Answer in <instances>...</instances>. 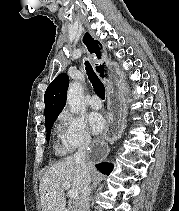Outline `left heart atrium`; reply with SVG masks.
<instances>
[{
  "instance_id": "obj_1",
  "label": "left heart atrium",
  "mask_w": 179,
  "mask_h": 211,
  "mask_svg": "<svg viewBox=\"0 0 179 211\" xmlns=\"http://www.w3.org/2000/svg\"><path fill=\"white\" fill-rule=\"evenodd\" d=\"M89 123H90L92 131L95 134L100 133L104 129V126H105V120L103 116L99 113L90 114Z\"/></svg>"
}]
</instances>
